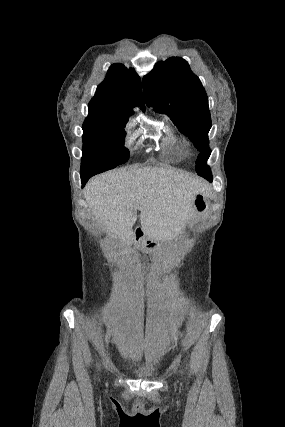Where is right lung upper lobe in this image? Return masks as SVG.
I'll list each match as a JSON object with an SVG mask.
<instances>
[{"mask_svg":"<svg viewBox=\"0 0 285 427\" xmlns=\"http://www.w3.org/2000/svg\"><path fill=\"white\" fill-rule=\"evenodd\" d=\"M135 106L145 110L140 77L133 68L113 64L89 103V114L83 125L127 122Z\"/></svg>","mask_w":285,"mask_h":427,"instance_id":"right-lung-upper-lobe-1","label":"right lung upper lobe"}]
</instances>
